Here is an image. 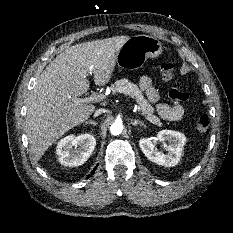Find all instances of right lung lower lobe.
Listing matches in <instances>:
<instances>
[{
    "instance_id": "98d812e1",
    "label": "right lung lower lobe",
    "mask_w": 233,
    "mask_h": 233,
    "mask_svg": "<svg viewBox=\"0 0 233 233\" xmlns=\"http://www.w3.org/2000/svg\"><path fill=\"white\" fill-rule=\"evenodd\" d=\"M97 168V166L92 170L91 173H94L95 169ZM88 177H90V175H88Z\"/></svg>"
}]
</instances>
